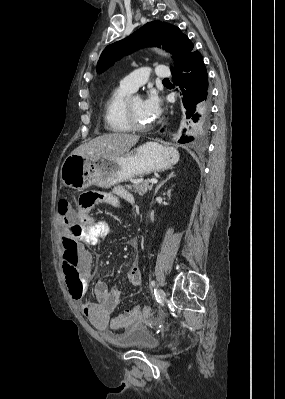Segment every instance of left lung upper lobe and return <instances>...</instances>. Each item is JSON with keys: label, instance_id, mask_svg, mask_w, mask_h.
I'll list each match as a JSON object with an SVG mask.
<instances>
[{"label": "left lung upper lobe", "instance_id": "obj_1", "mask_svg": "<svg viewBox=\"0 0 285 399\" xmlns=\"http://www.w3.org/2000/svg\"><path fill=\"white\" fill-rule=\"evenodd\" d=\"M145 46L163 47L172 53L176 67L194 47L190 39L178 27L166 22L152 21L129 37L107 46L97 63V72H104L127 53Z\"/></svg>", "mask_w": 285, "mask_h": 399}]
</instances>
